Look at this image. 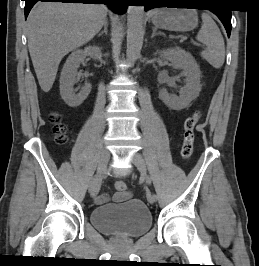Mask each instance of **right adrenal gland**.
<instances>
[{
    "label": "right adrenal gland",
    "mask_w": 259,
    "mask_h": 266,
    "mask_svg": "<svg viewBox=\"0 0 259 266\" xmlns=\"http://www.w3.org/2000/svg\"><path fill=\"white\" fill-rule=\"evenodd\" d=\"M103 33H105L106 35H107V33H108V20H107V19L105 20V23H104V30L101 31V32L98 34V36L100 37Z\"/></svg>",
    "instance_id": "2a0ac1e0"
}]
</instances>
